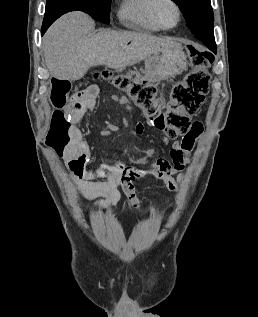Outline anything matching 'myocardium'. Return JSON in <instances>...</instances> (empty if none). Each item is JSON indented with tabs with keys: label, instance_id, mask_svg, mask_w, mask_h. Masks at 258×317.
<instances>
[{
	"label": "myocardium",
	"instance_id": "myocardium-1",
	"mask_svg": "<svg viewBox=\"0 0 258 317\" xmlns=\"http://www.w3.org/2000/svg\"><path fill=\"white\" fill-rule=\"evenodd\" d=\"M166 2L172 3L176 9V19L172 24H164L163 22L160 21V19L158 18V15H157V11H158L159 6L162 5L163 3H166ZM180 16H181L180 7H179V4L175 0H156L154 7H153V10H152V17H153L154 22L156 23V25L160 29L167 30V29L174 28L178 24V22L180 20Z\"/></svg>",
	"mask_w": 258,
	"mask_h": 317
}]
</instances>
